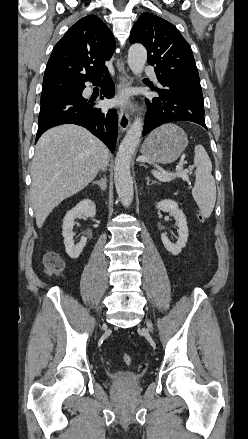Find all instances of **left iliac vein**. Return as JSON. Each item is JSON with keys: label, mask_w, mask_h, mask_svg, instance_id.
Masks as SVG:
<instances>
[{"label": "left iliac vein", "mask_w": 248, "mask_h": 439, "mask_svg": "<svg viewBox=\"0 0 248 439\" xmlns=\"http://www.w3.org/2000/svg\"><path fill=\"white\" fill-rule=\"evenodd\" d=\"M147 326H148L150 329H152V323H151L150 320L147 321Z\"/></svg>", "instance_id": "1"}]
</instances>
